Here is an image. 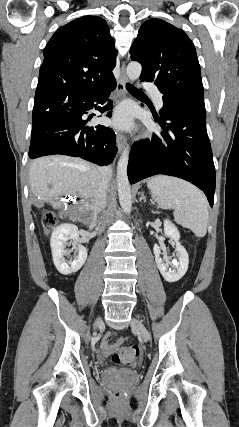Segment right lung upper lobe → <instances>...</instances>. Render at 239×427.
Returning a JSON list of instances; mask_svg holds the SVG:
<instances>
[{
  "instance_id": "right-lung-upper-lobe-1",
  "label": "right lung upper lobe",
  "mask_w": 239,
  "mask_h": 427,
  "mask_svg": "<svg viewBox=\"0 0 239 427\" xmlns=\"http://www.w3.org/2000/svg\"><path fill=\"white\" fill-rule=\"evenodd\" d=\"M116 50L104 19L85 16L59 28L44 49L35 100L94 90L114 78Z\"/></svg>"
}]
</instances>
